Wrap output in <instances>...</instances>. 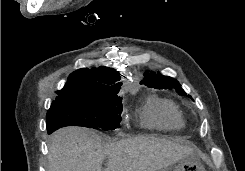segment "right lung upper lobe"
<instances>
[{
  "label": "right lung upper lobe",
  "instance_id": "obj_1",
  "mask_svg": "<svg viewBox=\"0 0 245 171\" xmlns=\"http://www.w3.org/2000/svg\"><path fill=\"white\" fill-rule=\"evenodd\" d=\"M120 74L112 68H82L70 74L54 102L62 100H95L117 96Z\"/></svg>",
  "mask_w": 245,
  "mask_h": 171
}]
</instances>
